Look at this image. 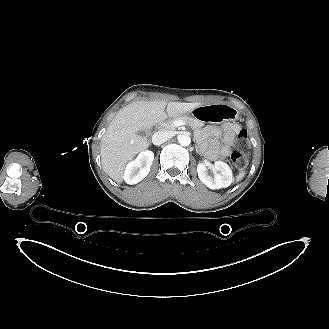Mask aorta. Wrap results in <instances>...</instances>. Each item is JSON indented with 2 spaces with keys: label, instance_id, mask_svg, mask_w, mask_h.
<instances>
[{
  "label": "aorta",
  "instance_id": "762f6f07",
  "mask_svg": "<svg viewBox=\"0 0 329 329\" xmlns=\"http://www.w3.org/2000/svg\"><path fill=\"white\" fill-rule=\"evenodd\" d=\"M178 141L180 145L188 146L191 143V138L188 135H180Z\"/></svg>",
  "mask_w": 329,
  "mask_h": 329
}]
</instances>
